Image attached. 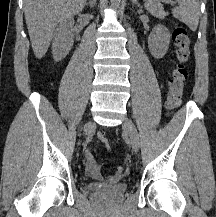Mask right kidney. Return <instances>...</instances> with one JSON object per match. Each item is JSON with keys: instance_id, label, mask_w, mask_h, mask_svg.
<instances>
[{"instance_id": "obj_1", "label": "right kidney", "mask_w": 216, "mask_h": 217, "mask_svg": "<svg viewBox=\"0 0 216 217\" xmlns=\"http://www.w3.org/2000/svg\"><path fill=\"white\" fill-rule=\"evenodd\" d=\"M73 18L64 19L53 35L52 52L56 62L61 61L67 56L74 43Z\"/></svg>"}]
</instances>
